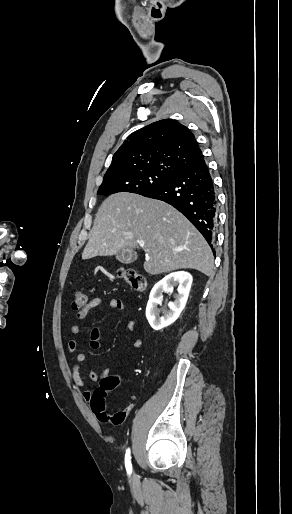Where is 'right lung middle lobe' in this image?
Here are the masks:
<instances>
[{"mask_svg": "<svg viewBox=\"0 0 292 514\" xmlns=\"http://www.w3.org/2000/svg\"><path fill=\"white\" fill-rule=\"evenodd\" d=\"M172 175L168 172H144L103 178L97 193L104 196L117 192H132L143 195L164 183Z\"/></svg>", "mask_w": 292, "mask_h": 514, "instance_id": "obj_1", "label": "right lung middle lobe"}]
</instances>
